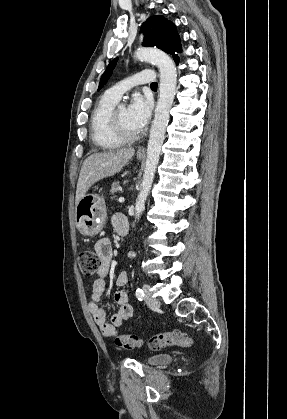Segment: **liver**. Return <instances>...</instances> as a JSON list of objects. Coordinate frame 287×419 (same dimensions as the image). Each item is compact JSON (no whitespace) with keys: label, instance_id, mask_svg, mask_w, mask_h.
Instances as JSON below:
<instances>
[{"label":"liver","instance_id":"1","mask_svg":"<svg viewBox=\"0 0 287 419\" xmlns=\"http://www.w3.org/2000/svg\"><path fill=\"white\" fill-rule=\"evenodd\" d=\"M134 148L94 153L83 162L76 189L75 204L96 182L114 176L134 156Z\"/></svg>","mask_w":287,"mask_h":419}]
</instances>
